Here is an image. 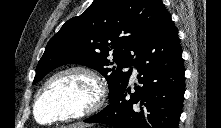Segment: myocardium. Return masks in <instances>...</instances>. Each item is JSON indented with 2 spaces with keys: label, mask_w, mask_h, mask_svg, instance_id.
Here are the masks:
<instances>
[{
  "label": "myocardium",
  "mask_w": 221,
  "mask_h": 128,
  "mask_svg": "<svg viewBox=\"0 0 221 128\" xmlns=\"http://www.w3.org/2000/svg\"><path fill=\"white\" fill-rule=\"evenodd\" d=\"M69 74L76 75L77 77L83 78L89 83L91 87L89 100H87L84 103V106L77 111H69V112L60 114L46 122L40 121L37 117V108L45 91L58 78L65 76V75H69ZM105 96H106V90H105L104 83L100 75L95 70L84 65L68 66L66 68H63L55 72L51 76H49L41 85L34 99L33 116L38 123H41L43 125H48V126L57 124L60 122L72 121L75 119L82 118L86 115L92 114L96 112L98 109H100V107L104 103Z\"/></svg>",
  "instance_id": "obj_1"
}]
</instances>
